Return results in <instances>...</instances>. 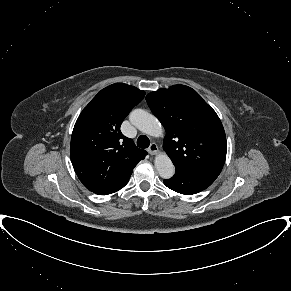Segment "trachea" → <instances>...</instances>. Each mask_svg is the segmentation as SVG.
Instances as JSON below:
<instances>
[{
  "mask_svg": "<svg viewBox=\"0 0 291 291\" xmlns=\"http://www.w3.org/2000/svg\"><path fill=\"white\" fill-rule=\"evenodd\" d=\"M150 145V140L145 135H140L137 139V146L140 148H147Z\"/></svg>",
  "mask_w": 291,
  "mask_h": 291,
  "instance_id": "trachea-1",
  "label": "trachea"
}]
</instances>
